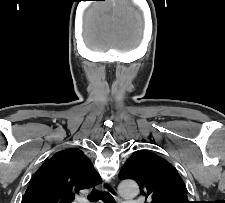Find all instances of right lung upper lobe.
Wrapping results in <instances>:
<instances>
[{
  "instance_id": "right-lung-upper-lobe-1",
  "label": "right lung upper lobe",
  "mask_w": 225,
  "mask_h": 203,
  "mask_svg": "<svg viewBox=\"0 0 225 203\" xmlns=\"http://www.w3.org/2000/svg\"><path fill=\"white\" fill-rule=\"evenodd\" d=\"M101 181L83 151L65 149L55 153L35 173L22 203H71L76 193Z\"/></svg>"
}]
</instances>
